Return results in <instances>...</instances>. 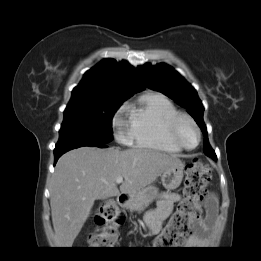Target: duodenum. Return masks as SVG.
Instances as JSON below:
<instances>
[{
	"label": "duodenum",
	"instance_id": "410a0bca",
	"mask_svg": "<svg viewBox=\"0 0 261 261\" xmlns=\"http://www.w3.org/2000/svg\"><path fill=\"white\" fill-rule=\"evenodd\" d=\"M117 202L122 208H126L128 202V196L126 194H120L117 199Z\"/></svg>",
	"mask_w": 261,
	"mask_h": 261
}]
</instances>
